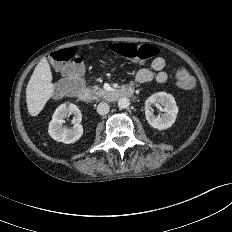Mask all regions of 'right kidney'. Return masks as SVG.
<instances>
[{
    "mask_svg": "<svg viewBox=\"0 0 232 232\" xmlns=\"http://www.w3.org/2000/svg\"><path fill=\"white\" fill-rule=\"evenodd\" d=\"M74 115L75 125L71 129L63 127L64 118ZM82 120L81 111L74 104H61L54 112L49 124V135L58 142L70 144L76 142L83 134V127L80 124Z\"/></svg>",
    "mask_w": 232,
    "mask_h": 232,
    "instance_id": "obj_1",
    "label": "right kidney"
}]
</instances>
